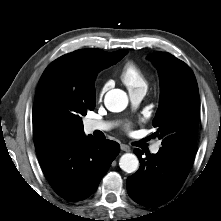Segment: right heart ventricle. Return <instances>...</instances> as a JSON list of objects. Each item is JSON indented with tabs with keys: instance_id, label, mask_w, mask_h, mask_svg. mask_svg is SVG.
Masks as SVG:
<instances>
[{
	"instance_id": "1",
	"label": "right heart ventricle",
	"mask_w": 221,
	"mask_h": 221,
	"mask_svg": "<svg viewBox=\"0 0 221 221\" xmlns=\"http://www.w3.org/2000/svg\"><path fill=\"white\" fill-rule=\"evenodd\" d=\"M122 82L129 91L147 88V78L141 68L134 62H127L120 73Z\"/></svg>"
}]
</instances>
